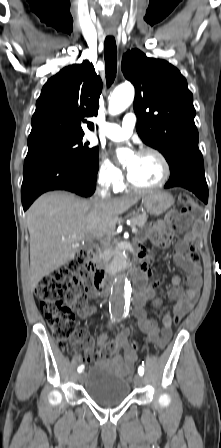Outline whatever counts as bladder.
<instances>
[{
    "instance_id": "1",
    "label": "bladder",
    "mask_w": 221,
    "mask_h": 448,
    "mask_svg": "<svg viewBox=\"0 0 221 448\" xmlns=\"http://www.w3.org/2000/svg\"><path fill=\"white\" fill-rule=\"evenodd\" d=\"M83 386L87 396L101 406H116L130 395V381L104 365L84 372Z\"/></svg>"
}]
</instances>
